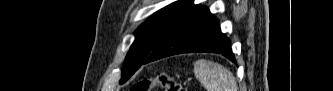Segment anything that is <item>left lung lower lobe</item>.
<instances>
[{
    "label": "left lung lower lobe",
    "instance_id": "0a47b994",
    "mask_svg": "<svg viewBox=\"0 0 333 91\" xmlns=\"http://www.w3.org/2000/svg\"><path fill=\"white\" fill-rule=\"evenodd\" d=\"M217 53L235 62L230 40L206 7L194 5L163 36L144 64L181 53Z\"/></svg>",
    "mask_w": 333,
    "mask_h": 91
}]
</instances>
